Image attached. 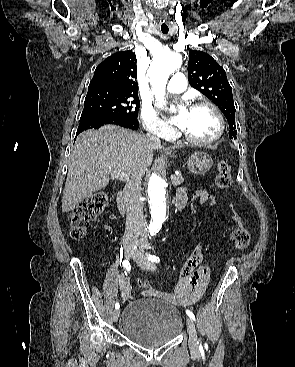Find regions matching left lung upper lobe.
<instances>
[{"instance_id":"obj_1","label":"left lung upper lobe","mask_w":295,"mask_h":367,"mask_svg":"<svg viewBox=\"0 0 295 367\" xmlns=\"http://www.w3.org/2000/svg\"><path fill=\"white\" fill-rule=\"evenodd\" d=\"M188 80L193 88L218 106L229 122V137L235 138V106L232 88L225 70L207 53L191 50L188 61Z\"/></svg>"}]
</instances>
